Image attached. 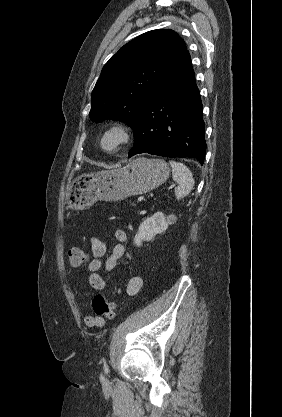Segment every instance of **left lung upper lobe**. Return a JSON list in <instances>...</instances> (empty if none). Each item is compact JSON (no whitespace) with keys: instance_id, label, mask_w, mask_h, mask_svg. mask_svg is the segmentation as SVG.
Instances as JSON below:
<instances>
[{"instance_id":"5c2ea615","label":"left lung upper lobe","mask_w":282,"mask_h":417,"mask_svg":"<svg viewBox=\"0 0 282 417\" xmlns=\"http://www.w3.org/2000/svg\"><path fill=\"white\" fill-rule=\"evenodd\" d=\"M185 51L183 39L169 29L146 32L125 44L101 71L90 119L120 120L133 127L139 109Z\"/></svg>"}]
</instances>
